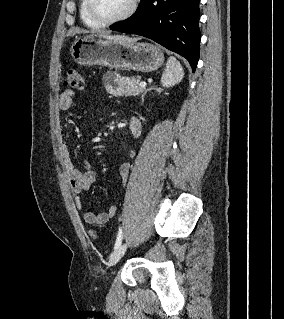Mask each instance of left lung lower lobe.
Segmentation results:
<instances>
[{"instance_id":"obj_1","label":"left lung lower lobe","mask_w":284,"mask_h":319,"mask_svg":"<svg viewBox=\"0 0 284 319\" xmlns=\"http://www.w3.org/2000/svg\"><path fill=\"white\" fill-rule=\"evenodd\" d=\"M200 0H142L128 19L111 30L154 40L185 57L194 72L200 55Z\"/></svg>"}]
</instances>
